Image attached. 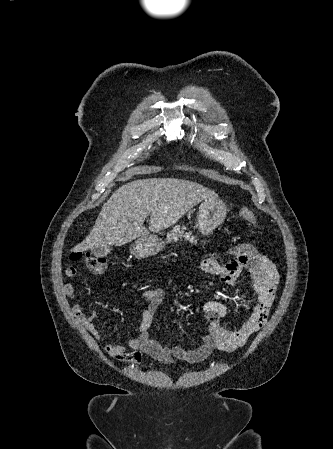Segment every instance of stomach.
Listing matches in <instances>:
<instances>
[{
  "instance_id": "1",
  "label": "stomach",
  "mask_w": 333,
  "mask_h": 449,
  "mask_svg": "<svg viewBox=\"0 0 333 449\" xmlns=\"http://www.w3.org/2000/svg\"><path fill=\"white\" fill-rule=\"evenodd\" d=\"M227 215L226 204L218 199H205L199 207L197 215V229L202 235L210 234L223 223ZM164 247L162 238L149 236L137 240L130 251L138 258L157 254Z\"/></svg>"
}]
</instances>
